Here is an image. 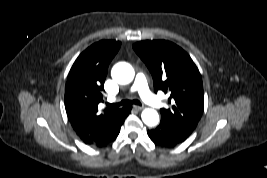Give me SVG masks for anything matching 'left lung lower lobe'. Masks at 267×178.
<instances>
[{"instance_id":"obj_1","label":"left lung lower lobe","mask_w":267,"mask_h":178,"mask_svg":"<svg viewBox=\"0 0 267 178\" xmlns=\"http://www.w3.org/2000/svg\"><path fill=\"white\" fill-rule=\"evenodd\" d=\"M148 136L157 145L162 147H174L186 140L168 123H160L156 128L148 130Z\"/></svg>"}]
</instances>
